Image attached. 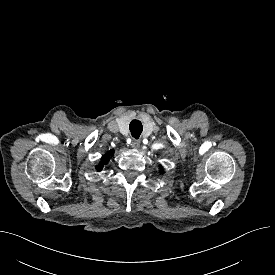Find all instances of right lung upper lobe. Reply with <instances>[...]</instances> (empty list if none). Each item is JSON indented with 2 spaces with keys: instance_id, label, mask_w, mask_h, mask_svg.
Segmentation results:
<instances>
[{
  "instance_id": "cb5924a9",
  "label": "right lung upper lobe",
  "mask_w": 275,
  "mask_h": 275,
  "mask_svg": "<svg viewBox=\"0 0 275 275\" xmlns=\"http://www.w3.org/2000/svg\"><path fill=\"white\" fill-rule=\"evenodd\" d=\"M113 153H114L113 151H109L102 157L100 164L98 166H96V169L98 171H101L103 169L104 165H106L109 162V158H110V156L113 155Z\"/></svg>"
}]
</instances>
